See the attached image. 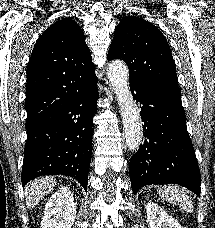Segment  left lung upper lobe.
<instances>
[{"label":"left lung upper lobe","instance_id":"1","mask_svg":"<svg viewBox=\"0 0 215 228\" xmlns=\"http://www.w3.org/2000/svg\"><path fill=\"white\" fill-rule=\"evenodd\" d=\"M120 58L129 67V80L145 86L178 87L169 44L150 22L124 17L115 29L108 60Z\"/></svg>","mask_w":215,"mask_h":228}]
</instances>
